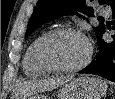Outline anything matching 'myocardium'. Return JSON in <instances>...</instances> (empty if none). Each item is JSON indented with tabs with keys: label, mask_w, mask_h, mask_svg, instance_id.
<instances>
[{
	"label": "myocardium",
	"mask_w": 115,
	"mask_h": 99,
	"mask_svg": "<svg viewBox=\"0 0 115 99\" xmlns=\"http://www.w3.org/2000/svg\"><path fill=\"white\" fill-rule=\"evenodd\" d=\"M66 34H72L82 37L87 45V53L85 58L80 63L73 66L56 65L48 58L46 54V47L49 44V42H51L53 39L59 36ZM92 54H93L92 45L90 41L87 39V37L80 30L71 27L57 28L49 31L40 39L36 48V57L39 64L48 72H54V73H69L79 71L89 64L92 58Z\"/></svg>",
	"instance_id": "obj_1"
}]
</instances>
